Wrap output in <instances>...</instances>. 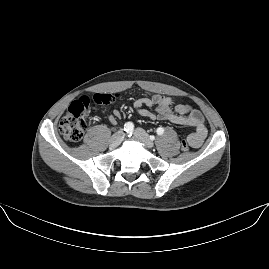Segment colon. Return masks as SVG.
Here are the masks:
<instances>
[{"label": "colon", "instance_id": "obj_1", "mask_svg": "<svg viewBox=\"0 0 269 269\" xmlns=\"http://www.w3.org/2000/svg\"><path fill=\"white\" fill-rule=\"evenodd\" d=\"M111 98L112 95L110 93L106 95L94 93L92 98L88 96L79 97L72 103L66 114L60 120L59 131L61 135L72 142L82 140L88 128V115L96 111L95 107L110 104ZM188 145V140L183 138L181 140L183 152L188 151Z\"/></svg>", "mask_w": 269, "mask_h": 269}]
</instances>
